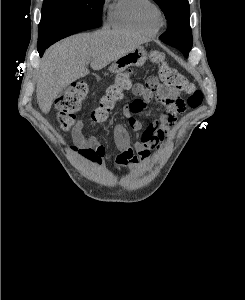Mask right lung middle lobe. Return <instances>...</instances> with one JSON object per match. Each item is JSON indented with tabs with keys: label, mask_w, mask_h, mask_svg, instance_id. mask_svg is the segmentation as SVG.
Returning a JSON list of instances; mask_svg holds the SVG:
<instances>
[{
	"label": "right lung middle lobe",
	"mask_w": 245,
	"mask_h": 300,
	"mask_svg": "<svg viewBox=\"0 0 245 300\" xmlns=\"http://www.w3.org/2000/svg\"><path fill=\"white\" fill-rule=\"evenodd\" d=\"M104 0H44L38 30V46L51 45L100 23Z\"/></svg>",
	"instance_id": "right-lung-middle-lobe-1"
}]
</instances>
